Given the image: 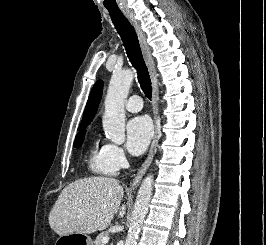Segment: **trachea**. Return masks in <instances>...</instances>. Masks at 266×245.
I'll return each instance as SVG.
<instances>
[{
  "label": "trachea",
  "mask_w": 266,
  "mask_h": 245,
  "mask_svg": "<svg viewBox=\"0 0 266 245\" xmlns=\"http://www.w3.org/2000/svg\"><path fill=\"white\" fill-rule=\"evenodd\" d=\"M109 14L117 32L121 36L128 58L132 63L133 67L137 70L138 80L141 85V88L145 93L146 97L151 99L152 83L150 80L148 69L142 57V52L140 49L137 34L131 23H129L127 18L124 17L123 13L109 12Z\"/></svg>",
  "instance_id": "trachea-1"
}]
</instances>
